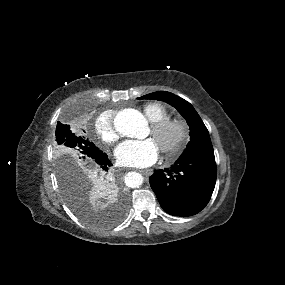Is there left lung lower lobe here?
Returning <instances> with one entry per match:
<instances>
[{
  "label": "left lung lower lobe",
  "mask_w": 285,
  "mask_h": 285,
  "mask_svg": "<svg viewBox=\"0 0 285 285\" xmlns=\"http://www.w3.org/2000/svg\"><path fill=\"white\" fill-rule=\"evenodd\" d=\"M213 148L182 155L170 168L149 178L161 207L174 216H192L208 204L216 183Z\"/></svg>",
  "instance_id": "1"
}]
</instances>
